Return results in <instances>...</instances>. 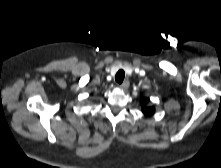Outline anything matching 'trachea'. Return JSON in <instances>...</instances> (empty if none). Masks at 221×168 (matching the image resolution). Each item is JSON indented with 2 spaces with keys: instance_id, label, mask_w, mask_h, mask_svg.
<instances>
[{
  "instance_id": "trachea-1",
  "label": "trachea",
  "mask_w": 221,
  "mask_h": 168,
  "mask_svg": "<svg viewBox=\"0 0 221 168\" xmlns=\"http://www.w3.org/2000/svg\"><path fill=\"white\" fill-rule=\"evenodd\" d=\"M124 77H125V72L123 70H119L116 73L115 80L117 83L121 84L124 80Z\"/></svg>"
}]
</instances>
